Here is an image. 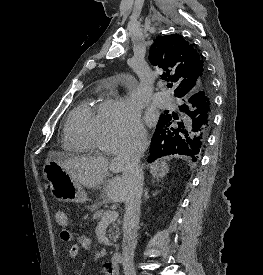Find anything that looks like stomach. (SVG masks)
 I'll return each instance as SVG.
<instances>
[{"instance_id":"1","label":"stomach","mask_w":263,"mask_h":275,"mask_svg":"<svg viewBox=\"0 0 263 275\" xmlns=\"http://www.w3.org/2000/svg\"><path fill=\"white\" fill-rule=\"evenodd\" d=\"M43 174L49 182L52 196L61 202L84 203L87 193L80 183L74 180L55 160H47Z\"/></svg>"}]
</instances>
